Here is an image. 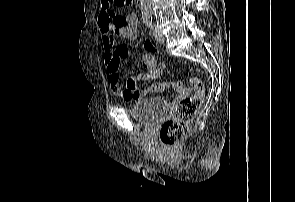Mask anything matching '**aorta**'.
<instances>
[{
	"label": "aorta",
	"mask_w": 295,
	"mask_h": 202,
	"mask_svg": "<svg viewBox=\"0 0 295 202\" xmlns=\"http://www.w3.org/2000/svg\"><path fill=\"white\" fill-rule=\"evenodd\" d=\"M140 7L143 19H150L152 14L150 0H140Z\"/></svg>",
	"instance_id": "obj_1"
}]
</instances>
